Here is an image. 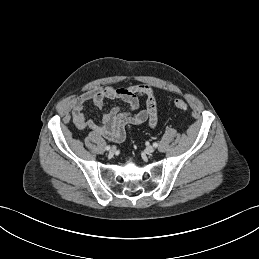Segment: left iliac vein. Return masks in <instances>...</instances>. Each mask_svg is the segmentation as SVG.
<instances>
[{
    "label": "left iliac vein",
    "mask_w": 259,
    "mask_h": 259,
    "mask_svg": "<svg viewBox=\"0 0 259 259\" xmlns=\"http://www.w3.org/2000/svg\"><path fill=\"white\" fill-rule=\"evenodd\" d=\"M154 150H155V148H154L153 146H151V145L147 146V148H146V152H147L148 154L153 153Z\"/></svg>",
    "instance_id": "4c4485c4"
}]
</instances>
